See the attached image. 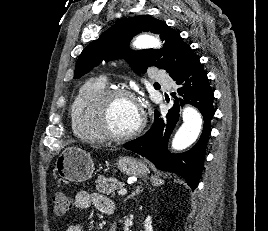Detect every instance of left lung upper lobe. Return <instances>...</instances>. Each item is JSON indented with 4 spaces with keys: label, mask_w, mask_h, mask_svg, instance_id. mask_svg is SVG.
Here are the masks:
<instances>
[{
    "label": "left lung upper lobe",
    "mask_w": 268,
    "mask_h": 231,
    "mask_svg": "<svg viewBox=\"0 0 268 231\" xmlns=\"http://www.w3.org/2000/svg\"><path fill=\"white\" fill-rule=\"evenodd\" d=\"M143 31L159 34L165 41L163 48L130 51L128 49L130 40ZM122 57L128 60L136 73L145 72L148 67L156 66L174 76L184 71L197 56L182 40L178 31L171 29L162 20L141 15L121 19L107 29L99 39L92 41L78 58L74 78H80L102 60L109 61Z\"/></svg>",
    "instance_id": "5c2ea615"
}]
</instances>
